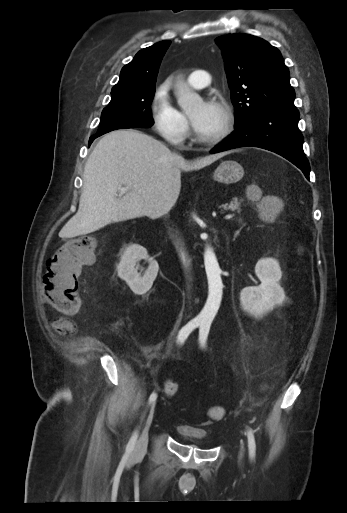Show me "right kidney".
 <instances>
[{"label": "right kidney", "instance_id": "1", "mask_svg": "<svg viewBox=\"0 0 347 513\" xmlns=\"http://www.w3.org/2000/svg\"><path fill=\"white\" fill-rule=\"evenodd\" d=\"M142 259L149 262V267L143 276L137 272L138 262ZM158 270L157 261L150 259L147 250L137 244L128 247L123 252L117 265L118 276L126 281L130 289L137 295L146 293L152 287Z\"/></svg>", "mask_w": 347, "mask_h": 513}]
</instances>
